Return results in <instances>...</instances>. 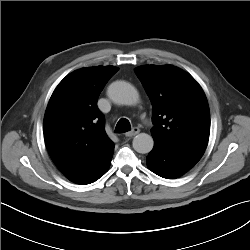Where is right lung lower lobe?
<instances>
[{"label":"right lung lower lobe","mask_w":250,"mask_h":250,"mask_svg":"<svg viewBox=\"0 0 250 250\" xmlns=\"http://www.w3.org/2000/svg\"><path fill=\"white\" fill-rule=\"evenodd\" d=\"M114 152V145L109 148L103 155L99 158L82 168L81 170L66 176L70 181L85 185L90 184L98 180L103 176L109 166Z\"/></svg>","instance_id":"right-lung-lower-lobe-1"}]
</instances>
